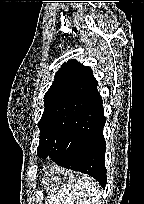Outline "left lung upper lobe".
I'll list each match as a JSON object with an SVG mask.
<instances>
[{"instance_id":"5c2ea615","label":"left lung upper lobe","mask_w":144,"mask_h":204,"mask_svg":"<svg viewBox=\"0 0 144 204\" xmlns=\"http://www.w3.org/2000/svg\"><path fill=\"white\" fill-rule=\"evenodd\" d=\"M89 67L69 60L58 70L44 96V112L38 127L40 141L38 155L44 156L65 137L71 119L84 102L87 89L95 82Z\"/></svg>"}]
</instances>
